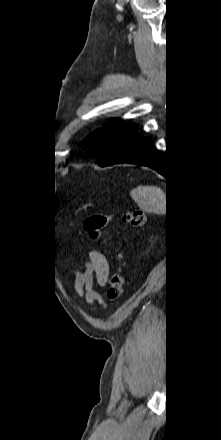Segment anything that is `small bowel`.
I'll return each mask as SVG.
<instances>
[{
  "label": "small bowel",
  "instance_id": "obj_1",
  "mask_svg": "<svg viewBox=\"0 0 221 440\" xmlns=\"http://www.w3.org/2000/svg\"><path fill=\"white\" fill-rule=\"evenodd\" d=\"M108 277L109 265L106 258L99 252H92L86 270L84 272L76 271L74 273L75 291L91 306L96 303L104 305L103 300L93 290L92 285L94 280H96L99 285L105 286Z\"/></svg>",
  "mask_w": 221,
  "mask_h": 440
}]
</instances>
